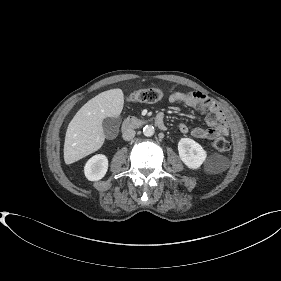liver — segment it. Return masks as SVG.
<instances>
[{"label": "liver", "mask_w": 281, "mask_h": 281, "mask_svg": "<svg viewBox=\"0 0 281 281\" xmlns=\"http://www.w3.org/2000/svg\"><path fill=\"white\" fill-rule=\"evenodd\" d=\"M123 105V91L116 88L98 94L79 109L66 131V164H72L102 147L105 141L102 122L107 117H118Z\"/></svg>", "instance_id": "obj_1"}]
</instances>
